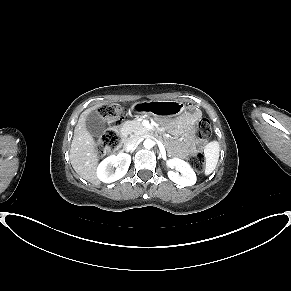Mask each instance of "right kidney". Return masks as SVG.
<instances>
[{
    "instance_id": "obj_1",
    "label": "right kidney",
    "mask_w": 291,
    "mask_h": 291,
    "mask_svg": "<svg viewBox=\"0 0 291 291\" xmlns=\"http://www.w3.org/2000/svg\"><path fill=\"white\" fill-rule=\"evenodd\" d=\"M130 163L131 156L129 154L110 155L98 165L97 178L104 183L115 182L125 176ZM112 167H117L115 172L112 171Z\"/></svg>"
}]
</instances>
